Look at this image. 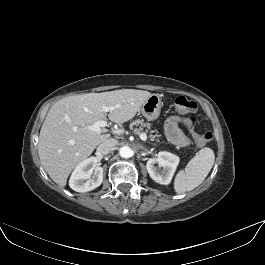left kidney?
<instances>
[{
    "label": "left kidney",
    "mask_w": 265,
    "mask_h": 265,
    "mask_svg": "<svg viewBox=\"0 0 265 265\" xmlns=\"http://www.w3.org/2000/svg\"><path fill=\"white\" fill-rule=\"evenodd\" d=\"M155 163H157L162 169H158L155 166ZM178 164V156L162 151L158 153L157 158H150L147 161L146 167L150 177L155 182L162 185H168L172 180Z\"/></svg>",
    "instance_id": "5707ae66"
}]
</instances>
